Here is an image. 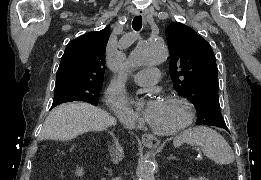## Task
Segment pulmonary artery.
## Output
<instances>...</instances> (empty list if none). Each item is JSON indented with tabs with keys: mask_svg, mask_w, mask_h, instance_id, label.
Returning a JSON list of instances; mask_svg holds the SVG:
<instances>
[{
	"mask_svg": "<svg viewBox=\"0 0 261 180\" xmlns=\"http://www.w3.org/2000/svg\"><path fill=\"white\" fill-rule=\"evenodd\" d=\"M159 76V69L143 68L132 76V80L138 84V89H153V84L151 83L156 82Z\"/></svg>",
	"mask_w": 261,
	"mask_h": 180,
	"instance_id": "e3ab8cb5",
	"label": "pulmonary artery"
}]
</instances>
